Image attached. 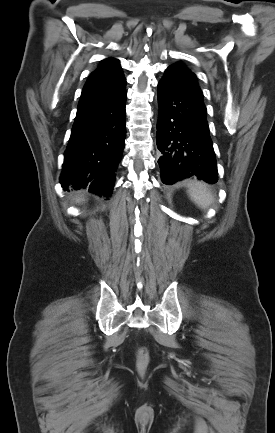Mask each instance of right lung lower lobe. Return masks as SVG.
I'll return each mask as SVG.
<instances>
[{"mask_svg": "<svg viewBox=\"0 0 275 433\" xmlns=\"http://www.w3.org/2000/svg\"><path fill=\"white\" fill-rule=\"evenodd\" d=\"M125 106V84L81 96L60 175L64 190L110 196L125 145Z\"/></svg>", "mask_w": 275, "mask_h": 433, "instance_id": "right-lung-lower-lobe-1", "label": "right lung lower lobe"}]
</instances>
